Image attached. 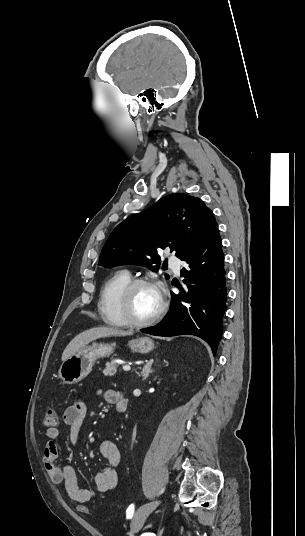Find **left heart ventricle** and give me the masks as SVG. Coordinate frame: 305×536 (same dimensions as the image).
<instances>
[{
    "label": "left heart ventricle",
    "instance_id": "obj_1",
    "mask_svg": "<svg viewBox=\"0 0 305 536\" xmlns=\"http://www.w3.org/2000/svg\"><path fill=\"white\" fill-rule=\"evenodd\" d=\"M160 305V297L156 288L140 285L131 295V312L136 318H145L155 313Z\"/></svg>",
    "mask_w": 305,
    "mask_h": 536
}]
</instances>
